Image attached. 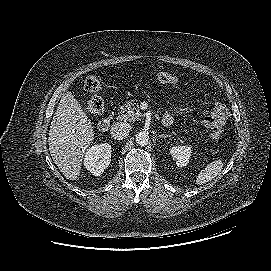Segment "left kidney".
Returning <instances> with one entry per match:
<instances>
[{"mask_svg":"<svg viewBox=\"0 0 271 271\" xmlns=\"http://www.w3.org/2000/svg\"><path fill=\"white\" fill-rule=\"evenodd\" d=\"M190 146H174L170 149V154L176 160L177 166L184 167L191 157Z\"/></svg>","mask_w":271,"mask_h":271,"instance_id":"5707ae66","label":"left kidney"}]
</instances>
